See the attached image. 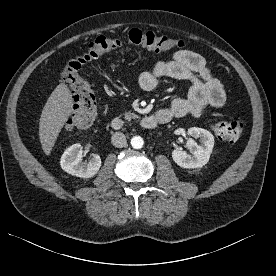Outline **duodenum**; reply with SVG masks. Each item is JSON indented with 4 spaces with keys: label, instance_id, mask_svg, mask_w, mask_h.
<instances>
[{
    "label": "duodenum",
    "instance_id": "duodenum-1",
    "mask_svg": "<svg viewBox=\"0 0 276 276\" xmlns=\"http://www.w3.org/2000/svg\"><path fill=\"white\" fill-rule=\"evenodd\" d=\"M169 117L166 114H163L161 111H159L154 116H145L141 119V126L144 129H154L159 124H164L169 121ZM124 121L123 119L119 117H115L111 121V127L114 130H121L124 127Z\"/></svg>",
    "mask_w": 276,
    "mask_h": 276
}]
</instances>
